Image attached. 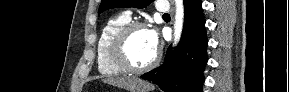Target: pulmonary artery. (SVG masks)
Returning <instances> with one entry per match:
<instances>
[{
	"mask_svg": "<svg viewBox=\"0 0 289 92\" xmlns=\"http://www.w3.org/2000/svg\"><path fill=\"white\" fill-rule=\"evenodd\" d=\"M156 9L161 13H168L169 5L166 2L160 1L156 3ZM126 15L129 17L130 13H126Z\"/></svg>",
	"mask_w": 289,
	"mask_h": 92,
	"instance_id": "obj_1",
	"label": "pulmonary artery"
}]
</instances>
